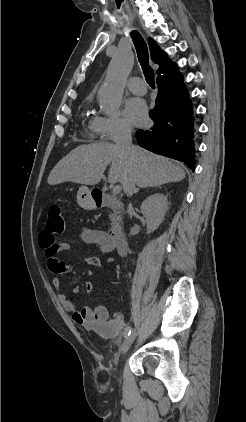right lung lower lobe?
Masks as SVG:
<instances>
[{
    "mask_svg": "<svg viewBox=\"0 0 246 422\" xmlns=\"http://www.w3.org/2000/svg\"><path fill=\"white\" fill-rule=\"evenodd\" d=\"M158 96L149 112L154 126L137 131L138 144L154 153L184 162L195 169V122L193 106L183 76L157 81Z\"/></svg>",
    "mask_w": 246,
    "mask_h": 422,
    "instance_id": "right-lung-lower-lobe-1",
    "label": "right lung lower lobe"
}]
</instances>
